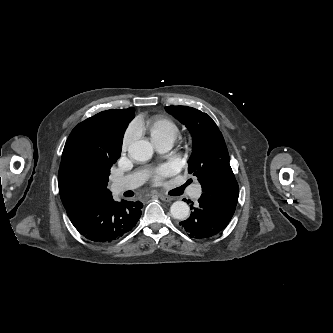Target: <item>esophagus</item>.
<instances>
[{
  "mask_svg": "<svg viewBox=\"0 0 333 333\" xmlns=\"http://www.w3.org/2000/svg\"><path fill=\"white\" fill-rule=\"evenodd\" d=\"M159 198L164 202H170L173 200V197L164 194H159Z\"/></svg>",
  "mask_w": 333,
  "mask_h": 333,
  "instance_id": "esophagus-1",
  "label": "esophagus"
}]
</instances>
